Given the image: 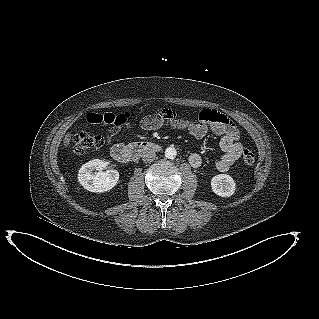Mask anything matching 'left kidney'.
<instances>
[{"instance_id": "1", "label": "left kidney", "mask_w": 319, "mask_h": 319, "mask_svg": "<svg viewBox=\"0 0 319 319\" xmlns=\"http://www.w3.org/2000/svg\"><path fill=\"white\" fill-rule=\"evenodd\" d=\"M212 191L220 197L232 196L236 190L233 178L227 174H219L211 180Z\"/></svg>"}]
</instances>
